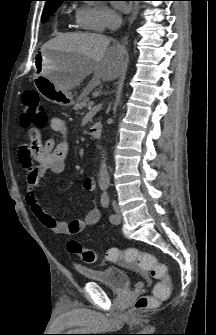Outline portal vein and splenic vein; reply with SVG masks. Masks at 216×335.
<instances>
[{
    "mask_svg": "<svg viewBox=\"0 0 216 335\" xmlns=\"http://www.w3.org/2000/svg\"><path fill=\"white\" fill-rule=\"evenodd\" d=\"M94 105V101H90L89 103H88V106L89 107H92Z\"/></svg>",
    "mask_w": 216,
    "mask_h": 335,
    "instance_id": "obj_1",
    "label": "portal vein and splenic vein"
}]
</instances>
